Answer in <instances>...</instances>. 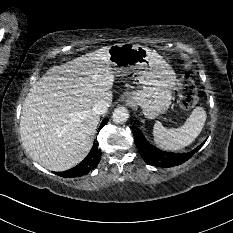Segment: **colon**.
Listing matches in <instances>:
<instances>
[{
  "label": "colon",
  "mask_w": 233,
  "mask_h": 233,
  "mask_svg": "<svg viewBox=\"0 0 233 233\" xmlns=\"http://www.w3.org/2000/svg\"><path fill=\"white\" fill-rule=\"evenodd\" d=\"M178 97L183 109L193 108L198 101L196 88L188 72L181 75L178 82Z\"/></svg>",
  "instance_id": "1"
}]
</instances>
